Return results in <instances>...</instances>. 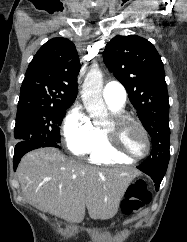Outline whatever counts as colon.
<instances>
[{
	"mask_svg": "<svg viewBox=\"0 0 187 242\" xmlns=\"http://www.w3.org/2000/svg\"><path fill=\"white\" fill-rule=\"evenodd\" d=\"M152 195L144 180H136L126 192L122 211L128 216L139 214L151 201Z\"/></svg>",
	"mask_w": 187,
	"mask_h": 242,
	"instance_id": "1",
	"label": "colon"
}]
</instances>
